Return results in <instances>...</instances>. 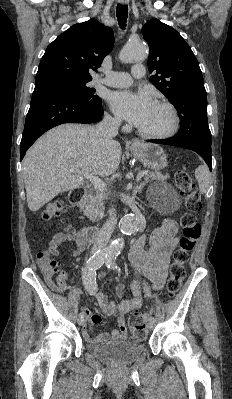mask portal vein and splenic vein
<instances>
[{
  "label": "portal vein and splenic vein",
  "instance_id": "portal-vein-and-splenic-vein-1",
  "mask_svg": "<svg viewBox=\"0 0 232 399\" xmlns=\"http://www.w3.org/2000/svg\"><path fill=\"white\" fill-rule=\"evenodd\" d=\"M71 174H80V170H70ZM147 174V170H143V172H139L138 176H137V180H141V178H143V176H146ZM85 178L86 180H90L91 184H93L94 188H96V190H100V192H104L105 188H106V184H104V182H102V180H99L98 176H86L85 174Z\"/></svg>",
  "mask_w": 232,
  "mask_h": 399
}]
</instances>
